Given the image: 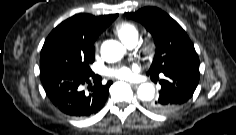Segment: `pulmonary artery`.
I'll use <instances>...</instances> for the list:
<instances>
[{
  "label": "pulmonary artery",
  "instance_id": "1",
  "mask_svg": "<svg viewBox=\"0 0 236 135\" xmlns=\"http://www.w3.org/2000/svg\"><path fill=\"white\" fill-rule=\"evenodd\" d=\"M136 44H137V42L133 41V42L129 43L127 46L130 47V48H133V47L136 46Z\"/></svg>",
  "mask_w": 236,
  "mask_h": 135
}]
</instances>
